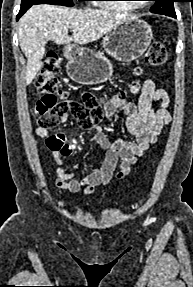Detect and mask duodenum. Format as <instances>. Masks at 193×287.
Listing matches in <instances>:
<instances>
[{
  "instance_id": "duodenum-1",
  "label": "duodenum",
  "mask_w": 193,
  "mask_h": 287,
  "mask_svg": "<svg viewBox=\"0 0 193 287\" xmlns=\"http://www.w3.org/2000/svg\"><path fill=\"white\" fill-rule=\"evenodd\" d=\"M67 54H68L69 56H71V55L73 54V52H72V51H68Z\"/></svg>"
}]
</instances>
